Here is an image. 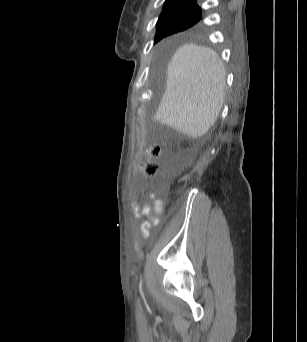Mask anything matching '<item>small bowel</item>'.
Masks as SVG:
<instances>
[{
	"instance_id": "c3829d8e",
	"label": "small bowel",
	"mask_w": 307,
	"mask_h": 342,
	"mask_svg": "<svg viewBox=\"0 0 307 342\" xmlns=\"http://www.w3.org/2000/svg\"><path fill=\"white\" fill-rule=\"evenodd\" d=\"M149 198L154 199L153 209L147 204L141 209H139L136 204H132L134 214L137 218H140L141 215L149 218V221H144L141 223V236L144 239L149 236L152 225L158 224V215L161 213L163 208V201L161 199H157L154 193L150 194Z\"/></svg>"
}]
</instances>
